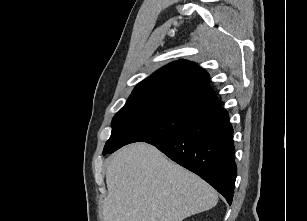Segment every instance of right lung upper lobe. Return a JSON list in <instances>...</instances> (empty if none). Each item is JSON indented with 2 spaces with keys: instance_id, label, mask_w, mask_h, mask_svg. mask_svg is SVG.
<instances>
[{
  "instance_id": "obj_1",
  "label": "right lung upper lobe",
  "mask_w": 307,
  "mask_h": 221,
  "mask_svg": "<svg viewBox=\"0 0 307 221\" xmlns=\"http://www.w3.org/2000/svg\"><path fill=\"white\" fill-rule=\"evenodd\" d=\"M209 74L196 64L172 62L141 81L127 102L140 100L179 101L213 109L221 102L209 86Z\"/></svg>"
}]
</instances>
